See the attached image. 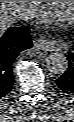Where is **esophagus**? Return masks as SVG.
I'll list each match as a JSON object with an SVG mask.
<instances>
[{"mask_svg": "<svg viewBox=\"0 0 74 122\" xmlns=\"http://www.w3.org/2000/svg\"><path fill=\"white\" fill-rule=\"evenodd\" d=\"M50 47H51V43L44 39L36 40L33 42V48L36 51H38V50L48 51V50H50Z\"/></svg>", "mask_w": 74, "mask_h": 122, "instance_id": "1", "label": "esophagus"}]
</instances>
